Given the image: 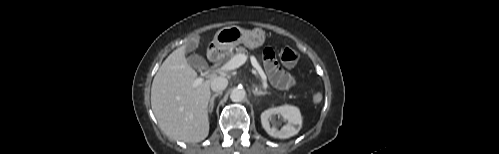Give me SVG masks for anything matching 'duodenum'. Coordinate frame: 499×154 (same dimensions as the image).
<instances>
[{
    "label": "duodenum",
    "mask_w": 499,
    "mask_h": 154,
    "mask_svg": "<svg viewBox=\"0 0 499 154\" xmlns=\"http://www.w3.org/2000/svg\"><path fill=\"white\" fill-rule=\"evenodd\" d=\"M208 58L210 62L214 63L218 59V51L217 49L213 48L208 52Z\"/></svg>",
    "instance_id": "1"
}]
</instances>
